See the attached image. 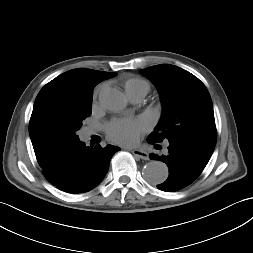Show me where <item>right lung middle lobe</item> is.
<instances>
[{
    "mask_svg": "<svg viewBox=\"0 0 253 253\" xmlns=\"http://www.w3.org/2000/svg\"><path fill=\"white\" fill-rule=\"evenodd\" d=\"M92 95L82 97H56L40 111L39 129L50 139L71 146L79 141L77 131L82 121L91 115Z\"/></svg>",
    "mask_w": 253,
    "mask_h": 253,
    "instance_id": "obj_1",
    "label": "right lung middle lobe"
}]
</instances>
